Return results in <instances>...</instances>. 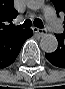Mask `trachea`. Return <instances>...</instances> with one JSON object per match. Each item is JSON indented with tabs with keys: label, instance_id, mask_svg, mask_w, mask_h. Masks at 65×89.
Instances as JSON below:
<instances>
[{
	"label": "trachea",
	"instance_id": "obj_1",
	"mask_svg": "<svg viewBox=\"0 0 65 89\" xmlns=\"http://www.w3.org/2000/svg\"><path fill=\"white\" fill-rule=\"evenodd\" d=\"M34 26L40 29H43V22L40 19L34 20ZM32 22L31 20L27 19L23 24L19 25L21 28H29L31 27Z\"/></svg>",
	"mask_w": 65,
	"mask_h": 89
}]
</instances>
